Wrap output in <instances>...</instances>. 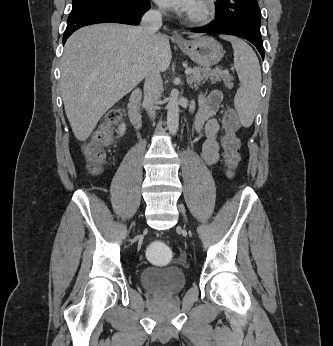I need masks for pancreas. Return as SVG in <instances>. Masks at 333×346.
<instances>
[{
  "mask_svg": "<svg viewBox=\"0 0 333 346\" xmlns=\"http://www.w3.org/2000/svg\"><path fill=\"white\" fill-rule=\"evenodd\" d=\"M208 79H210L211 83L224 81L226 86H230V82L232 80L231 76L226 70H222L220 68L211 70L210 68L203 67L192 69V74L188 77L187 83L191 88H195L197 90L198 87Z\"/></svg>",
  "mask_w": 333,
  "mask_h": 346,
  "instance_id": "pancreas-1",
  "label": "pancreas"
}]
</instances>
